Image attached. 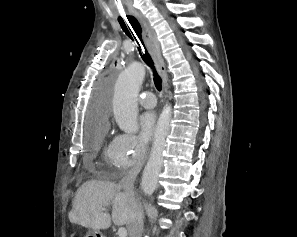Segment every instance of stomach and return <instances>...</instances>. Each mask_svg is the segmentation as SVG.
<instances>
[{
	"instance_id": "0dacf381",
	"label": "stomach",
	"mask_w": 297,
	"mask_h": 237,
	"mask_svg": "<svg viewBox=\"0 0 297 237\" xmlns=\"http://www.w3.org/2000/svg\"><path fill=\"white\" fill-rule=\"evenodd\" d=\"M86 237H104V236L97 230H89L87 232Z\"/></svg>"
}]
</instances>
